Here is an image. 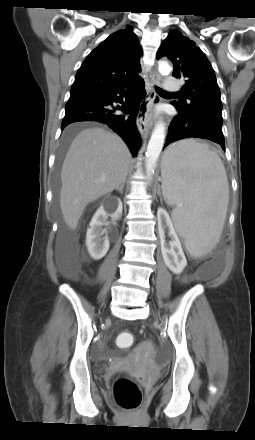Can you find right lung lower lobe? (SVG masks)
I'll use <instances>...</instances> for the list:
<instances>
[{"instance_id":"98d812e1","label":"right lung lower lobe","mask_w":255,"mask_h":440,"mask_svg":"<svg viewBox=\"0 0 255 440\" xmlns=\"http://www.w3.org/2000/svg\"><path fill=\"white\" fill-rule=\"evenodd\" d=\"M145 95L144 81L139 76L104 90L70 95L61 129L79 121L105 123L123 138L135 156L141 144L136 116ZM113 103L122 106L115 107Z\"/></svg>"}]
</instances>
